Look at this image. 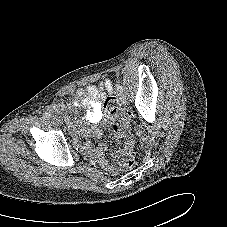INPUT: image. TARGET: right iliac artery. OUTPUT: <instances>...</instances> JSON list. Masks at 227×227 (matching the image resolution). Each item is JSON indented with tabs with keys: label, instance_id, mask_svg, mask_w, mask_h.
Wrapping results in <instances>:
<instances>
[{
	"label": "right iliac artery",
	"instance_id": "1",
	"mask_svg": "<svg viewBox=\"0 0 227 227\" xmlns=\"http://www.w3.org/2000/svg\"><path fill=\"white\" fill-rule=\"evenodd\" d=\"M43 117L44 118H50L51 117V114L50 113H43Z\"/></svg>",
	"mask_w": 227,
	"mask_h": 227
}]
</instances>
